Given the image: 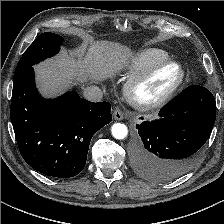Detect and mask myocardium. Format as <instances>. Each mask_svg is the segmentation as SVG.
I'll return each instance as SVG.
<instances>
[{"label": "myocardium", "mask_w": 224, "mask_h": 224, "mask_svg": "<svg viewBox=\"0 0 224 224\" xmlns=\"http://www.w3.org/2000/svg\"><path fill=\"white\" fill-rule=\"evenodd\" d=\"M174 67L178 70V77L170 85V87L156 99L145 101L139 97L140 88L150 80L156 73L167 68ZM186 72L183 65L174 60H164L159 63H156L143 72L132 76L126 86H125V95L129 103L138 110L141 111H150L162 107L166 104L171 97L176 93L185 80Z\"/></svg>", "instance_id": "obj_1"}]
</instances>
